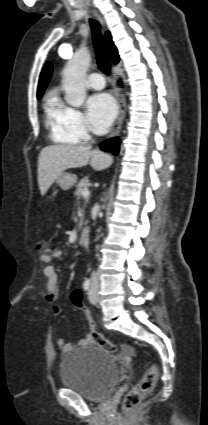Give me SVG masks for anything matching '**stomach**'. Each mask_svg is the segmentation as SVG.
<instances>
[{
	"label": "stomach",
	"instance_id": "obj_1",
	"mask_svg": "<svg viewBox=\"0 0 208 425\" xmlns=\"http://www.w3.org/2000/svg\"><path fill=\"white\" fill-rule=\"evenodd\" d=\"M76 182L77 176L71 173H62L57 178V183L63 190H69L76 184Z\"/></svg>",
	"mask_w": 208,
	"mask_h": 425
}]
</instances>
